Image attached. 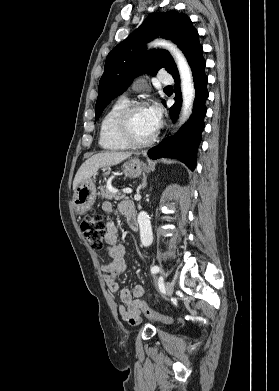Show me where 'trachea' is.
Masks as SVG:
<instances>
[{"label":"trachea","instance_id":"obj_1","mask_svg":"<svg viewBox=\"0 0 279 391\" xmlns=\"http://www.w3.org/2000/svg\"><path fill=\"white\" fill-rule=\"evenodd\" d=\"M165 89H172V86H167L165 87Z\"/></svg>","mask_w":279,"mask_h":391}]
</instances>
